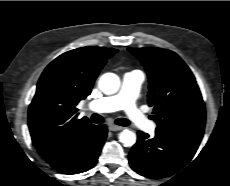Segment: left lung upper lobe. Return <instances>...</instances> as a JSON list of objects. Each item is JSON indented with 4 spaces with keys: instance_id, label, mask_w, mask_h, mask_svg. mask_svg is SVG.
<instances>
[{
    "instance_id": "5c2ea615",
    "label": "left lung upper lobe",
    "mask_w": 230,
    "mask_h": 186,
    "mask_svg": "<svg viewBox=\"0 0 230 186\" xmlns=\"http://www.w3.org/2000/svg\"><path fill=\"white\" fill-rule=\"evenodd\" d=\"M149 76L148 102L158 129L202 137L205 106L189 67L173 51L155 47L129 48Z\"/></svg>"
}]
</instances>
